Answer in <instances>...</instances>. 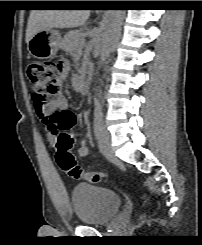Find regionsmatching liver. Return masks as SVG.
<instances>
[{
	"label": "liver",
	"instance_id": "1",
	"mask_svg": "<svg viewBox=\"0 0 202 245\" xmlns=\"http://www.w3.org/2000/svg\"><path fill=\"white\" fill-rule=\"evenodd\" d=\"M90 10H32L26 30V43L39 31L46 28H76L83 26Z\"/></svg>",
	"mask_w": 202,
	"mask_h": 245
}]
</instances>
